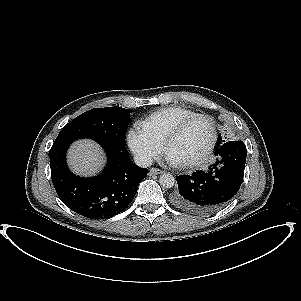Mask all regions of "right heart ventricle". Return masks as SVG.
<instances>
[{"label": "right heart ventricle", "instance_id": "right-heart-ventricle-1", "mask_svg": "<svg viewBox=\"0 0 301 301\" xmlns=\"http://www.w3.org/2000/svg\"><path fill=\"white\" fill-rule=\"evenodd\" d=\"M196 114L195 111L183 107H166L147 116L141 122V127L148 135L161 143L179 123Z\"/></svg>", "mask_w": 301, "mask_h": 301}]
</instances>
